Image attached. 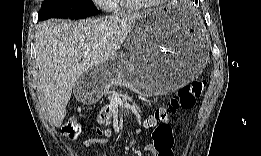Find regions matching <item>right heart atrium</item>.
Segmentation results:
<instances>
[{
  "label": "right heart atrium",
  "instance_id": "obj_1",
  "mask_svg": "<svg viewBox=\"0 0 261 156\" xmlns=\"http://www.w3.org/2000/svg\"><path fill=\"white\" fill-rule=\"evenodd\" d=\"M97 4L108 11H112L115 8L112 0H100L97 2Z\"/></svg>",
  "mask_w": 261,
  "mask_h": 156
}]
</instances>
